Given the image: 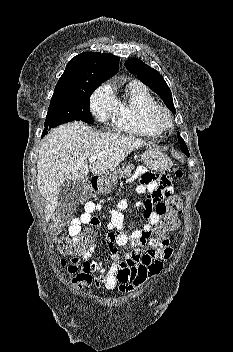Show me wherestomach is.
Masks as SVG:
<instances>
[{
	"instance_id": "0dacf381",
	"label": "stomach",
	"mask_w": 233,
	"mask_h": 352,
	"mask_svg": "<svg viewBox=\"0 0 233 352\" xmlns=\"http://www.w3.org/2000/svg\"><path fill=\"white\" fill-rule=\"evenodd\" d=\"M141 159L146 167L155 171H163L169 168L170 160L163 152L155 148H150L141 155ZM118 171H113L103 175L98 181V189L102 193H110L117 184Z\"/></svg>"
}]
</instances>
